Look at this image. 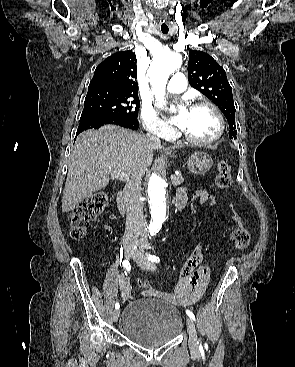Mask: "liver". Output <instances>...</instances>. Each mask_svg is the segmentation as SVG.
<instances>
[{"label": "liver", "instance_id": "6515ba94", "mask_svg": "<svg viewBox=\"0 0 295 367\" xmlns=\"http://www.w3.org/2000/svg\"><path fill=\"white\" fill-rule=\"evenodd\" d=\"M162 148L143 134L115 125L82 132L71 152L62 211L73 210L94 192L105 188L110 176L116 178L110 170L141 180L152 162L153 150Z\"/></svg>", "mask_w": 295, "mask_h": 367}]
</instances>
